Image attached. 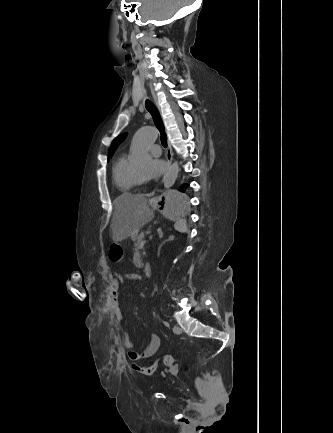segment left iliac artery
<instances>
[{
    "mask_svg": "<svg viewBox=\"0 0 333 433\" xmlns=\"http://www.w3.org/2000/svg\"><path fill=\"white\" fill-rule=\"evenodd\" d=\"M164 325H165L166 327H169V326H170L169 323H168L167 321H164Z\"/></svg>",
    "mask_w": 333,
    "mask_h": 433,
    "instance_id": "44dca946",
    "label": "left iliac artery"
}]
</instances>
